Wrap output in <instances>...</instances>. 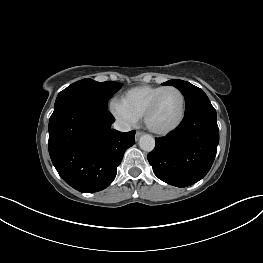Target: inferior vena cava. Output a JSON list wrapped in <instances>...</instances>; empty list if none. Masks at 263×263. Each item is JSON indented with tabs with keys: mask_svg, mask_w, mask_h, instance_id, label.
Instances as JSON below:
<instances>
[{
	"mask_svg": "<svg viewBox=\"0 0 263 263\" xmlns=\"http://www.w3.org/2000/svg\"><path fill=\"white\" fill-rule=\"evenodd\" d=\"M114 129L121 131V132H128L131 130V126L124 121H116L113 125Z\"/></svg>",
	"mask_w": 263,
	"mask_h": 263,
	"instance_id": "1",
	"label": "inferior vena cava"
}]
</instances>
